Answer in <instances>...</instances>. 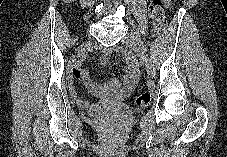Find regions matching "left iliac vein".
Returning a JSON list of instances; mask_svg holds the SVG:
<instances>
[{"instance_id":"4c4485c4","label":"left iliac vein","mask_w":227,"mask_h":157,"mask_svg":"<svg viewBox=\"0 0 227 157\" xmlns=\"http://www.w3.org/2000/svg\"><path fill=\"white\" fill-rule=\"evenodd\" d=\"M139 40L138 35L132 34L130 37H125L122 40V44L138 54L148 74L153 76L155 72L154 65L149 56L143 51L142 44L139 43Z\"/></svg>"}]
</instances>
